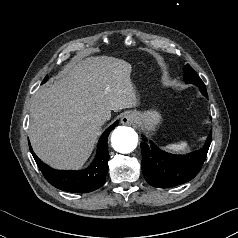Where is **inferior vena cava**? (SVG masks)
I'll list each match as a JSON object with an SVG mask.
<instances>
[{
  "label": "inferior vena cava",
  "instance_id": "1",
  "mask_svg": "<svg viewBox=\"0 0 238 238\" xmlns=\"http://www.w3.org/2000/svg\"><path fill=\"white\" fill-rule=\"evenodd\" d=\"M106 121H107L106 118L101 117V118H99V119L97 120V123H98L99 125H102V124H104Z\"/></svg>",
  "mask_w": 238,
  "mask_h": 238
}]
</instances>
